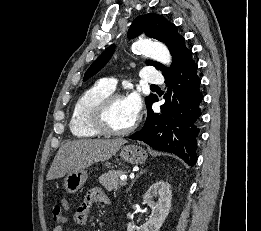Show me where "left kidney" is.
Instances as JSON below:
<instances>
[{
  "instance_id": "5707ae66",
  "label": "left kidney",
  "mask_w": 261,
  "mask_h": 231,
  "mask_svg": "<svg viewBox=\"0 0 261 231\" xmlns=\"http://www.w3.org/2000/svg\"><path fill=\"white\" fill-rule=\"evenodd\" d=\"M171 199L170 184L163 181L154 183L143 196L144 203L152 209L149 220L140 227L128 223L127 231H159L169 214Z\"/></svg>"
}]
</instances>
